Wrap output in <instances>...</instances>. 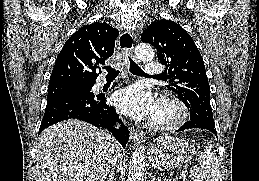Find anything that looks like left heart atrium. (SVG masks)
Masks as SVG:
<instances>
[{
  "label": "left heart atrium",
  "mask_w": 259,
  "mask_h": 181,
  "mask_svg": "<svg viewBox=\"0 0 259 181\" xmlns=\"http://www.w3.org/2000/svg\"><path fill=\"white\" fill-rule=\"evenodd\" d=\"M113 104L124 114L136 119L152 120L159 103L154 96L139 85H130L115 92Z\"/></svg>",
  "instance_id": "39dd6f15"
}]
</instances>
